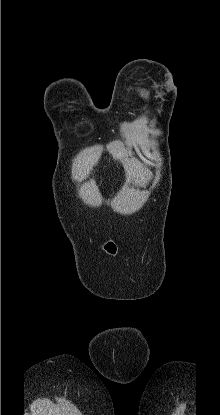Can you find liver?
Wrapping results in <instances>:
<instances>
[{
	"label": "liver",
	"mask_w": 220,
	"mask_h": 415,
	"mask_svg": "<svg viewBox=\"0 0 220 415\" xmlns=\"http://www.w3.org/2000/svg\"><path fill=\"white\" fill-rule=\"evenodd\" d=\"M134 175H135V174L133 173V176H134ZM131 177H132V174L128 173V176H127V182H130Z\"/></svg>",
	"instance_id": "liver-1"
}]
</instances>
